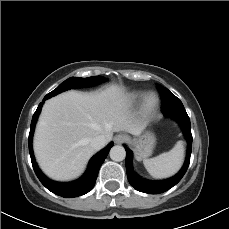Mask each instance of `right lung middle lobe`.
Instances as JSON below:
<instances>
[{"instance_id": "obj_1", "label": "right lung middle lobe", "mask_w": 229, "mask_h": 229, "mask_svg": "<svg viewBox=\"0 0 229 229\" xmlns=\"http://www.w3.org/2000/svg\"><path fill=\"white\" fill-rule=\"evenodd\" d=\"M105 78L101 76H92L88 78H79V77H71L67 80H65L63 83H61L56 89H54L52 92L48 93L45 97L50 98L53 97L63 91L69 90L71 88H79V87H88L96 85L102 81H104Z\"/></svg>"}]
</instances>
